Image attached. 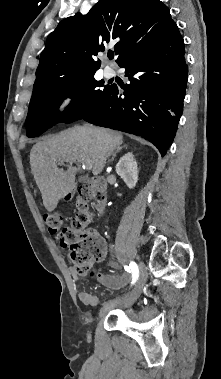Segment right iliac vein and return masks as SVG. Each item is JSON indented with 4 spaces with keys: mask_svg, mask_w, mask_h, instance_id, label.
I'll use <instances>...</instances> for the list:
<instances>
[{
    "mask_svg": "<svg viewBox=\"0 0 221 379\" xmlns=\"http://www.w3.org/2000/svg\"><path fill=\"white\" fill-rule=\"evenodd\" d=\"M146 279H147L146 269L143 264H140V275L134 289L126 296L106 303L100 310V313H99L100 316L105 315L106 313H108L110 310H112L115 307L128 306L134 303L137 300V298L140 296Z\"/></svg>",
    "mask_w": 221,
    "mask_h": 379,
    "instance_id": "63e3f726",
    "label": "right iliac vein"
}]
</instances>
